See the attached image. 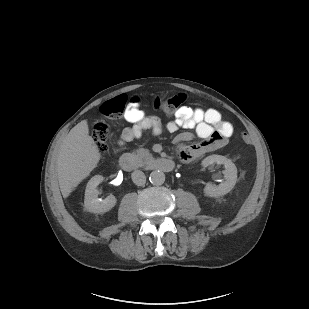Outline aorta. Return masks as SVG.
Returning <instances> with one entry per match:
<instances>
[{
  "mask_svg": "<svg viewBox=\"0 0 309 309\" xmlns=\"http://www.w3.org/2000/svg\"><path fill=\"white\" fill-rule=\"evenodd\" d=\"M149 180L153 185H162L165 182V174L159 170L152 171Z\"/></svg>",
  "mask_w": 309,
  "mask_h": 309,
  "instance_id": "aorta-1",
  "label": "aorta"
}]
</instances>
